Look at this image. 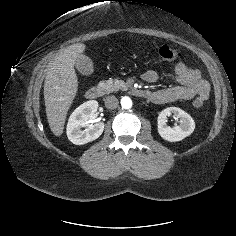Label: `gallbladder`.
<instances>
[{
  "label": "gallbladder",
  "mask_w": 236,
  "mask_h": 236,
  "mask_svg": "<svg viewBox=\"0 0 236 236\" xmlns=\"http://www.w3.org/2000/svg\"><path fill=\"white\" fill-rule=\"evenodd\" d=\"M75 66L79 73L83 76H90L94 72V64L92 60L86 55H82L80 58H78Z\"/></svg>",
  "instance_id": "bac80fb5"
}]
</instances>
